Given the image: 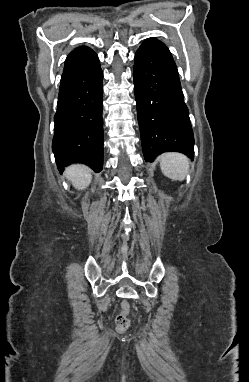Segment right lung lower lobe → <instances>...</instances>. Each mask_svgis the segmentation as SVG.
I'll use <instances>...</instances> for the list:
<instances>
[{"instance_id":"right-lung-lower-lobe-1","label":"right lung lower lobe","mask_w":249,"mask_h":382,"mask_svg":"<svg viewBox=\"0 0 249 382\" xmlns=\"http://www.w3.org/2000/svg\"><path fill=\"white\" fill-rule=\"evenodd\" d=\"M103 73L95 54L90 62L61 80L52 150L60 172L85 163L95 172L103 166Z\"/></svg>"}]
</instances>
